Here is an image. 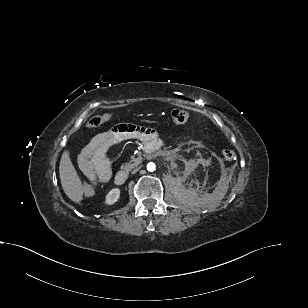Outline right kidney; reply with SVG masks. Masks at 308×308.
Returning <instances> with one entry per match:
<instances>
[{"instance_id": "1", "label": "right kidney", "mask_w": 308, "mask_h": 308, "mask_svg": "<svg viewBox=\"0 0 308 308\" xmlns=\"http://www.w3.org/2000/svg\"><path fill=\"white\" fill-rule=\"evenodd\" d=\"M120 198V189L119 188H113L111 189L105 198V204L107 205H113L118 201Z\"/></svg>"}]
</instances>
